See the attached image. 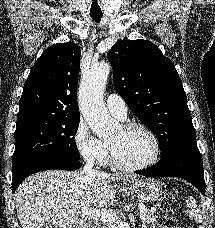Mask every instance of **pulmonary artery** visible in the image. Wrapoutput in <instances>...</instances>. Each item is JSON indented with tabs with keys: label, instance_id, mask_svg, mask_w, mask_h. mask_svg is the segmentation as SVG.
I'll list each match as a JSON object with an SVG mask.
<instances>
[{
	"label": "pulmonary artery",
	"instance_id": "obj_1",
	"mask_svg": "<svg viewBox=\"0 0 215 228\" xmlns=\"http://www.w3.org/2000/svg\"><path fill=\"white\" fill-rule=\"evenodd\" d=\"M106 106L109 112L120 120H124L126 118L127 107L125 101L121 97L115 94L109 95L106 99Z\"/></svg>",
	"mask_w": 215,
	"mask_h": 228
}]
</instances>
